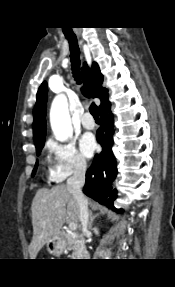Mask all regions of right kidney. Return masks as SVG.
<instances>
[{"label": "right kidney", "instance_id": "1", "mask_svg": "<svg viewBox=\"0 0 175 287\" xmlns=\"http://www.w3.org/2000/svg\"><path fill=\"white\" fill-rule=\"evenodd\" d=\"M94 232H95V234H98V229L94 228Z\"/></svg>", "mask_w": 175, "mask_h": 287}]
</instances>
